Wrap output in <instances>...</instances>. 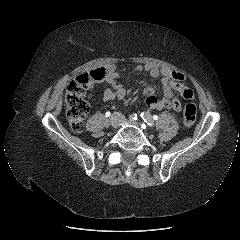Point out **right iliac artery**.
Wrapping results in <instances>:
<instances>
[{
    "label": "right iliac artery",
    "instance_id": "obj_1",
    "mask_svg": "<svg viewBox=\"0 0 240 240\" xmlns=\"http://www.w3.org/2000/svg\"><path fill=\"white\" fill-rule=\"evenodd\" d=\"M137 114H135V113H132L130 116H129V120L130 121H136L137 120Z\"/></svg>",
    "mask_w": 240,
    "mask_h": 240
}]
</instances>
